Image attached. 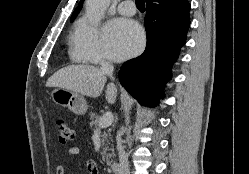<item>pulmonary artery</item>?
I'll return each instance as SVG.
<instances>
[{"instance_id": "1", "label": "pulmonary artery", "mask_w": 249, "mask_h": 174, "mask_svg": "<svg viewBox=\"0 0 249 174\" xmlns=\"http://www.w3.org/2000/svg\"><path fill=\"white\" fill-rule=\"evenodd\" d=\"M135 11V3L131 0L123 1L118 5V12L123 15L132 16L135 14Z\"/></svg>"}]
</instances>
